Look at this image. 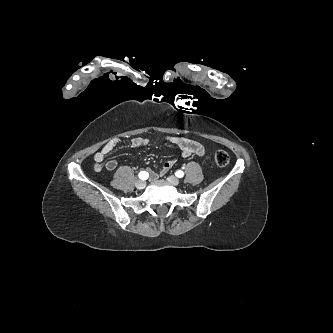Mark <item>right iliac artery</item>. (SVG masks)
<instances>
[{"instance_id": "1", "label": "right iliac artery", "mask_w": 333, "mask_h": 333, "mask_svg": "<svg viewBox=\"0 0 333 333\" xmlns=\"http://www.w3.org/2000/svg\"><path fill=\"white\" fill-rule=\"evenodd\" d=\"M148 177H149V173L146 172V171H141V172L139 173V178H140L141 180H146Z\"/></svg>"}]
</instances>
